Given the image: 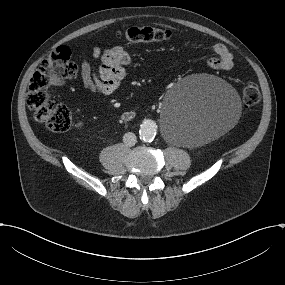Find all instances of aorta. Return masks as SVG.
I'll use <instances>...</instances> for the list:
<instances>
[{
  "label": "aorta",
  "mask_w": 285,
  "mask_h": 285,
  "mask_svg": "<svg viewBox=\"0 0 285 285\" xmlns=\"http://www.w3.org/2000/svg\"><path fill=\"white\" fill-rule=\"evenodd\" d=\"M157 125L152 120H145L139 130L140 139L144 142H152L156 136Z\"/></svg>",
  "instance_id": "762f6f07"
}]
</instances>
